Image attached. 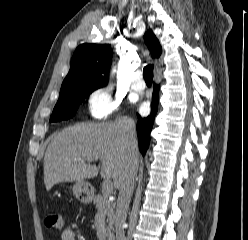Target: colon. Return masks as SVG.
Listing matches in <instances>:
<instances>
[{
    "label": "colon",
    "instance_id": "obj_1",
    "mask_svg": "<svg viewBox=\"0 0 248 240\" xmlns=\"http://www.w3.org/2000/svg\"><path fill=\"white\" fill-rule=\"evenodd\" d=\"M45 225L48 228L60 231L63 228V217L60 213H50L45 218Z\"/></svg>",
    "mask_w": 248,
    "mask_h": 240
}]
</instances>
